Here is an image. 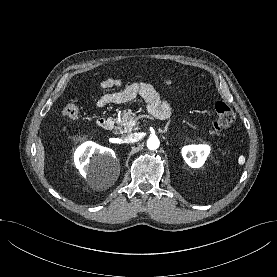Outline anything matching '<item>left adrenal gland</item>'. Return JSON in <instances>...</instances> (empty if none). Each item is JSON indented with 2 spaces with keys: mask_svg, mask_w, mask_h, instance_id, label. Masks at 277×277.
<instances>
[{
  "mask_svg": "<svg viewBox=\"0 0 277 277\" xmlns=\"http://www.w3.org/2000/svg\"><path fill=\"white\" fill-rule=\"evenodd\" d=\"M168 126H169V123L166 124L164 130L162 131L163 133L167 132Z\"/></svg>",
  "mask_w": 277,
  "mask_h": 277,
  "instance_id": "a2214340",
  "label": "left adrenal gland"
}]
</instances>
